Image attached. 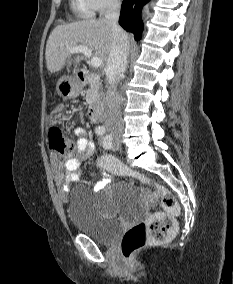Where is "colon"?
Wrapping results in <instances>:
<instances>
[{"instance_id": "obj_1", "label": "colon", "mask_w": 233, "mask_h": 284, "mask_svg": "<svg viewBox=\"0 0 233 284\" xmlns=\"http://www.w3.org/2000/svg\"><path fill=\"white\" fill-rule=\"evenodd\" d=\"M49 141L50 146L61 154L68 155L73 152L74 147L71 140L65 136L58 125H53L49 129ZM98 166L113 175L135 179L144 184L152 182L146 175L130 169L111 156L101 157L98 160ZM156 188L164 211L154 213L148 220L133 225L125 232L121 242V252L128 261L148 242L167 241L175 232V216L179 213L178 203L164 187L157 185Z\"/></svg>"}]
</instances>
